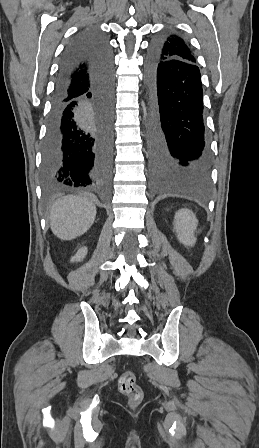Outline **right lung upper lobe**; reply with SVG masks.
<instances>
[{
    "label": "right lung upper lobe",
    "mask_w": 259,
    "mask_h": 448,
    "mask_svg": "<svg viewBox=\"0 0 259 448\" xmlns=\"http://www.w3.org/2000/svg\"><path fill=\"white\" fill-rule=\"evenodd\" d=\"M89 82V74L87 73L86 68L81 67L77 69L71 76V83L75 87H85Z\"/></svg>",
    "instance_id": "obj_1"
}]
</instances>
